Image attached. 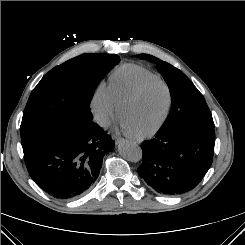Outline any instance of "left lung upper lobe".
<instances>
[{
    "label": "left lung upper lobe",
    "instance_id": "5c2ea615",
    "mask_svg": "<svg viewBox=\"0 0 245 245\" xmlns=\"http://www.w3.org/2000/svg\"><path fill=\"white\" fill-rule=\"evenodd\" d=\"M138 58L155 63L170 90L172 105L160 130H166L182 120H194L214 127L203 95L182 71L152 55L139 54Z\"/></svg>",
    "mask_w": 245,
    "mask_h": 245
}]
</instances>
